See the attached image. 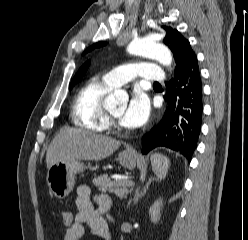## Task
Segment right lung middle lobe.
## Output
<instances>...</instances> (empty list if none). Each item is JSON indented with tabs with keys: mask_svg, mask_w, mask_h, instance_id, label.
<instances>
[{
	"mask_svg": "<svg viewBox=\"0 0 248 240\" xmlns=\"http://www.w3.org/2000/svg\"><path fill=\"white\" fill-rule=\"evenodd\" d=\"M75 85V82H72L71 84H70V87H69V89L71 90L72 89V87Z\"/></svg>",
	"mask_w": 248,
	"mask_h": 240,
	"instance_id": "1",
	"label": "right lung middle lobe"
}]
</instances>
